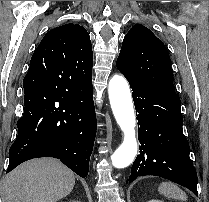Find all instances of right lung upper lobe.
I'll return each mask as SVG.
<instances>
[{
	"label": "right lung upper lobe",
	"instance_id": "cb5924a9",
	"mask_svg": "<svg viewBox=\"0 0 209 202\" xmlns=\"http://www.w3.org/2000/svg\"><path fill=\"white\" fill-rule=\"evenodd\" d=\"M93 52L89 34L79 24L50 30L36 48L30 68L42 69L62 86L85 87L92 83Z\"/></svg>",
	"mask_w": 209,
	"mask_h": 202
}]
</instances>
